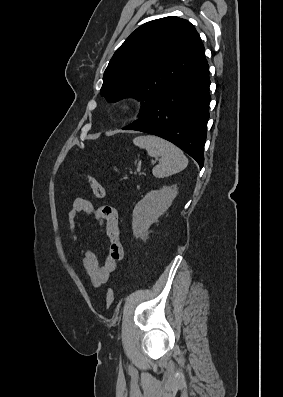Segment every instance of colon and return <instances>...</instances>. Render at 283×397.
I'll list each match as a JSON object with an SVG mask.
<instances>
[{
	"mask_svg": "<svg viewBox=\"0 0 283 397\" xmlns=\"http://www.w3.org/2000/svg\"><path fill=\"white\" fill-rule=\"evenodd\" d=\"M85 179L87 180L89 187L93 194L99 198L102 199L105 196V190L103 186L100 184V182L90 173H85L84 174ZM115 300V294L112 289H108L106 291V304L108 307H110Z\"/></svg>",
	"mask_w": 283,
	"mask_h": 397,
	"instance_id": "1",
	"label": "colon"
}]
</instances>
